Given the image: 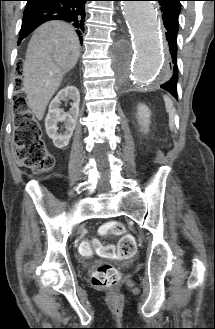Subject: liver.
I'll use <instances>...</instances> for the list:
<instances>
[{
    "instance_id": "1",
    "label": "liver",
    "mask_w": 215,
    "mask_h": 329,
    "mask_svg": "<svg viewBox=\"0 0 215 329\" xmlns=\"http://www.w3.org/2000/svg\"><path fill=\"white\" fill-rule=\"evenodd\" d=\"M79 51L75 29L63 21L44 23L32 35L23 64V86L38 120L43 119L64 75L76 65Z\"/></svg>"
}]
</instances>
